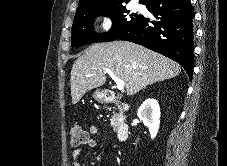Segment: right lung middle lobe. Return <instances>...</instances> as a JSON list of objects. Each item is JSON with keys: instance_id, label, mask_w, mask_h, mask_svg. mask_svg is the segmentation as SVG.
Instances as JSON below:
<instances>
[{"instance_id": "1", "label": "right lung middle lobe", "mask_w": 227, "mask_h": 166, "mask_svg": "<svg viewBox=\"0 0 227 166\" xmlns=\"http://www.w3.org/2000/svg\"><path fill=\"white\" fill-rule=\"evenodd\" d=\"M124 5L89 10L84 12H76L74 23L72 26V39L71 44L73 47L78 48L89 43L109 42L117 39L124 31L136 24L141 15L130 14ZM103 14L112 18L113 26L107 33H95L92 22L94 19Z\"/></svg>"}]
</instances>
